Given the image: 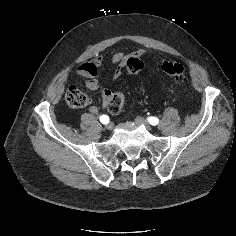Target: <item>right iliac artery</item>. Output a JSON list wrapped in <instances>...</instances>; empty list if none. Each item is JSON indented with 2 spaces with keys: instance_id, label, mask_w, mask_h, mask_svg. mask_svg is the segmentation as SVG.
<instances>
[{
  "instance_id": "right-iliac-artery-1",
  "label": "right iliac artery",
  "mask_w": 236,
  "mask_h": 236,
  "mask_svg": "<svg viewBox=\"0 0 236 236\" xmlns=\"http://www.w3.org/2000/svg\"><path fill=\"white\" fill-rule=\"evenodd\" d=\"M100 122L103 123V124H107L109 122V116L107 115H101L100 116Z\"/></svg>"
}]
</instances>
